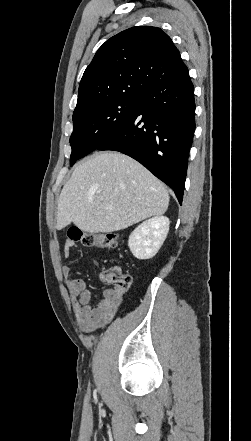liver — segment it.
Masks as SVG:
<instances>
[{"mask_svg":"<svg viewBox=\"0 0 251 441\" xmlns=\"http://www.w3.org/2000/svg\"><path fill=\"white\" fill-rule=\"evenodd\" d=\"M168 204L165 186L140 163L117 152L97 153L64 185L56 228L73 223L89 233L119 231L164 214Z\"/></svg>","mask_w":251,"mask_h":441,"instance_id":"1","label":"liver"}]
</instances>
